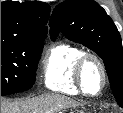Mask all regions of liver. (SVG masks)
Returning <instances> with one entry per match:
<instances>
[{
	"instance_id": "6515ba94",
	"label": "liver",
	"mask_w": 123,
	"mask_h": 113,
	"mask_svg": "<svg viewBox=\"0 0 123 113\" xmlns=\"http://www.w3.org/2000/svg\"><path fill=\"white\" fill-rule=\"evenodd\" d=\"M74 104L60 95H41L16 101L1 99V113H57Z\"/></svg>"
}]
</instances>
